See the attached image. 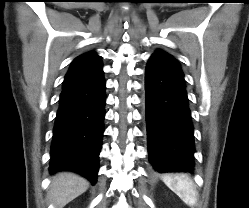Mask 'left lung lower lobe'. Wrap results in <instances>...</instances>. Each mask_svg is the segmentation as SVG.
Instances as JSON below:
<instances>
[{
	"label": "left lung lower lobe",
	"instance_id": "1",
	"mask_svg": "<svg viewBox=\"0 0 249 208\" xmlns=\"http://www.w3.org/2000/svg\"><path fill=\"white\" fill-rule=\"evenodd\" d=\"M178 63L151 56L145 72L149 162L155 172L194 170V129Z\"/></svg>",
	"mask_w": 249,
	"mask_h": 208
}]
</instances>
